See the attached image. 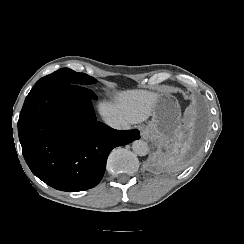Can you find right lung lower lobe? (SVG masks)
<instances>
[{"label":"right lung lower lobe","mask_w":244,"mask_h":244,"mask_svg":"<svg viewBox=\"0 0 244 244\" xmlns=\"http://www.w3.org/2000/svg\"><path fill=\"white\" fill-rule=\"evenodd\" d=\"M94 92L69 83L34 86L18 120L22 153L29 168L49 186L82 191L102 179L109 153L140 138V132L115 130L97 122Z\"/></svg>","instance_id":"1"}]
</instances>
